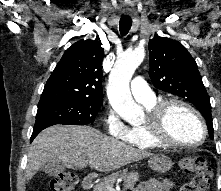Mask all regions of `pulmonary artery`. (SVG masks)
Returning <instances> with one entry per match:
<instances>
[{
	"instance_id": "1",
	"label": "pulmonary artery",
	"mask_w": 221,
	"mask_h": 191,
	"mask_svg": "<svg viewBox=\"0 0 221 191\" xmlns=\"http://www.w3.org/2000/svg\"><path fill=\"white\" fill-rule=\"evenodd\" d=\"M130 90L133 97L141 103H150L155 99V94L142 77H135L132 80Z\"/></svg>"
}]
</instances>
